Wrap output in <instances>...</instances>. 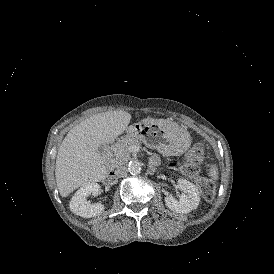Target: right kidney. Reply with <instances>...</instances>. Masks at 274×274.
<instances>
[{"label": "right kidney", "mask_w": 274, "mask_h": 274, "mask_svg": "<svg viewBox=\"0 0 274 274\" xmlns=\"http://www.w3.org/2000/svg\"><path fill=\"white\" fill-rule=\"evenodd\" d=\"M101 192V186L97 183H86L73 195L70 200L71 211L83 218H91L99 215L104 209L101 203L88 204L86 198L90 194L99 195Z\"/></svg>", "instance_id": "1"}]
</instances>
